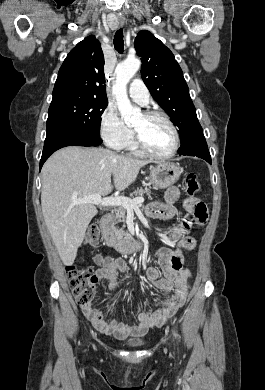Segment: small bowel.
Here are the masks:
<instances>
[{
  "label": "small bowel",
  "instance_id": "1",
  "mask_svg": "<svg viewBox=\"0 0 265 390\" xmlns=\"http://www.w3.org/2000/svg\"><path fill=\"white\" fill-rule=\"evenodd\" d=\"M180 200V191L177 187H170L165 193L164 203H151L147 207V214L152 218L168 220L175 215V205ZM183 208L189 216L199 225L206 222L208 213L206 205L197 198H186L183 200ZM190 222L188 219L173 227L170 236L165 241L173 246L162 247L156 252V260L161 268L160 271L153 266L146 270V277L150 283L167 293L169 296L159 302L158 307L151 311L139 310L136 321H123L119 318H106L102 312L93 307L92 304L81 306L83 314L92 322L94 327L108 335L117 338H124L129 335H144L150 328L163 325L168 318L173 316L183 305L188 292L189 281L192 273L189 269L183 268V252L193 250L196 241L188 235ZM96 263L101 267L97 270L98 281L106 283L109 291L119 285V277L128 271V265L122 258H115L110 255L98 257Z\"/></svg>",
  "mask_w": 265,
  "mask_h": 390
}]
</instances>
